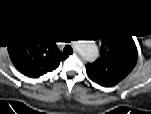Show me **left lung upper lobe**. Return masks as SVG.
I'll list each match as a JSON object with an SVG mask.
<instances>
[{
    "label": "left lung upper lobe",
    "instance_id": "left-lung-upper-lobe-1",
    "mask_svg": "<svg viewBox=\"0 0 151 114\" xmlns=\"http://www.w3.org/2000/svg\"><path fill=\"white\" fill-rule=\"evenodd\" d=\"M100 57L88 64L90 79L98 84L112 85L127 76L136 63L134 52L124 41L103 35Z\"/></svg>",
    "mask_w": 151,
    "mask_h": 114
}]
</instances>
